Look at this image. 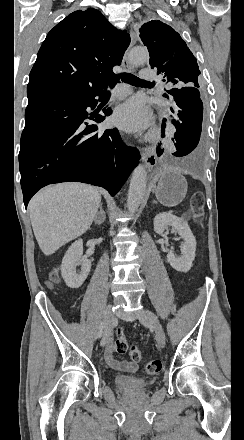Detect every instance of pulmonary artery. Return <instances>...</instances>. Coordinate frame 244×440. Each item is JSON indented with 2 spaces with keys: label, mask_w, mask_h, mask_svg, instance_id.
I'll list each match as a JSON object with an SVG mask.
<instances>
[{
  "label": "pulmonary artery",
  "mask_w": 244,
  "mask_h": 440,
  "mask_svg": "<svg viewBox=\"0 0 244 440\" xmlns=\"http://www.w3.org/2000/svg\"><path fill=\"white\" fill-rule=\"evenodd\" d=\"M137 76L139 78H151L152 77V70L151 69H139L137 71Z\"/></svg>",
  "instance_id": "obj_1"
}]
</instances>
